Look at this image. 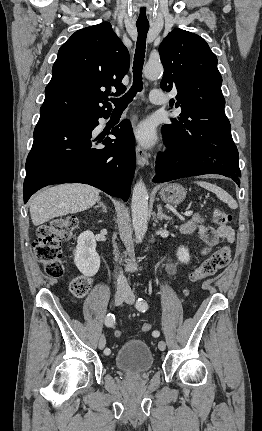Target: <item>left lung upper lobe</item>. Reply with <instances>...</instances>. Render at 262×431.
Returning a JSON list of instances; mask_svg holds the SVG:
<instances>
[{
	"mask_svg": "<svg viewBox=\"0 0 262 431\" xmlns=\"http://www.w3.org/2000/svg\"><path fill=\"white\" fill-rule=\"evenodd\" d=\"M164 66L161 88L176 89L171 106L181 114L162 126L164 140L178 150L220 153L232 140L224 113L217 57L199 35L176 28L159 47Z\"/></svg>",
	"mask_w": 262,
	"mask_h": 431,
	"instance_id": "5c2ea615",
	"label": "left lung upper lobe"
}]
</instances>
